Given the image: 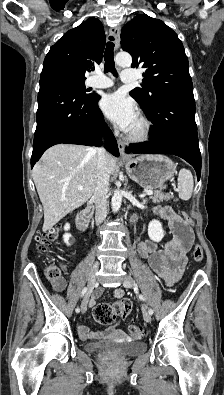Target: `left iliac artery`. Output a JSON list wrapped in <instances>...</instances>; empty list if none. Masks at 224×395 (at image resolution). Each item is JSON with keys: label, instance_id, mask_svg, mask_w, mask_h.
Returning a JSON list of instances; mask_svg holds the SVG:
<instances>
[{"label": "left iliac artery", "instance_id": "left-iliac-artery-1", "mask_svg": "<svg viewBox=\"0 0 224 395\" xmlns=\"http://www.w3.org/2000/svg\"><path fill=\"white\" fill-rule=\"evenodd\" d=\"M139 298H140L141 300L145 301V297H144L143 295H139ZM148 312H149L150 315L153 314V310H152L151 308H149V307H148Z\"/></svg>", "mask_w": 224, "mask_h": 395}]
</instances>
